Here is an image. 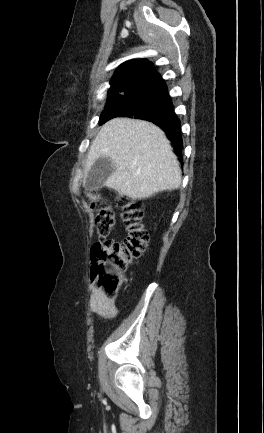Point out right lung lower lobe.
<instances>
[{
	"instance_id": "98d812e1",
	"label": "right lung lower lobe",
	"mask_w": 264,
	"mask_h": 433,
	"mask_svg": "<svg viewBox=\"0 0 264 433\" xmlns=\"http://www.w3.org/2000/svg\"><path fill=\"white\" fill-rule=\"evenodd\" d=\"M126 116L144 119L159 126L181 155V123L174 113L167 86L159 73L141 88L138 100L132 104V110Z\"/></svg>"
}]
</instances>
